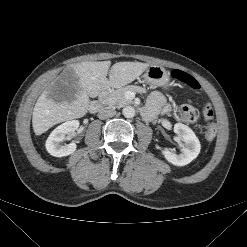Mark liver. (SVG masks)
Listing matches in <instances>:
<instances>
[{"label": "liver", "mask_w": 247, "mask_h": 247, "mask_svg": "<svg viewBox=\"0 0 247 247\" xmlns=\"http://www.w3.org/2000/svg\"><path fill=\"white\" fill-rule=\"evenodd\" d=\"M110 65V61H87L72 64L63 71L59 79L68 81L69 88L54 91V82L39 96L32 116L34 133L41 135L58 123L83 117L89 109V97L133 82L150 66L142 62H117L109 71Z\"/></svg>", "instance_id": "1"}]
</instances>
